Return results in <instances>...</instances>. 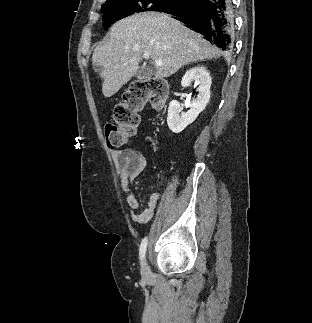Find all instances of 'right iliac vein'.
<instances>
[{
    "instance_id": "right-iliac-vein-1",
    "label": "right iliac vein",
    "mask_w": 312,
    "mask_h": 323,
    "mask_svg": "<svg viewBox=\"0 0 312 323\" xmlns=\"http://www.w3.org/2000/svg\"><path fill=\"white\" fill-rule=\"evenodd\" d=\"M141 272H142V275H143L144 277H148V275H149V270H148V268L146 267V265H143V266H142Z\"/></svg>"
}]
</instances>
